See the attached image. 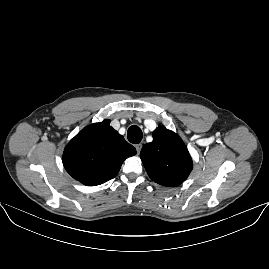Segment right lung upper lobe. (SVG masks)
Wrapping results in <instances>:
<instances>
[{"instance_id":"cb5924a9","label":"right lung upper lobe","mask_w":269,"mask_h":269,"mask_svg":"<svg viewBox=\"0 0 269 269\" xmlns=\"http://www.w3.org/2000/svg\"><path fill=\"white\" fill-rule=\"evenodd\" d=\"M135 154L136 149L106 119L81 130L66 146L62 161L74 179L96 186L114 178L123 161Z\"/></svg>"}]
</instances>
